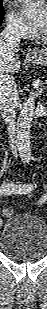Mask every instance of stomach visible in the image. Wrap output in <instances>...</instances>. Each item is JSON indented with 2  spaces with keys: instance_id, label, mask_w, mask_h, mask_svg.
Listing matches in <instances>:
<instances>
[{
  "instance_id": "0dacf381",
  "label": "stomach",
  "mask_w": 47,
  "mask_h": 309,
  "mask_svg": "<svg viewBox=\"0 0 47 309\" xmlns=\"http://www.w3.org/2000/svg\"><path fill=\"white\" fill-rule=\"evenodd\" d=\"M29 60L47 66V49L38 51L35 55L31 56Z\"/></svg>"
}]
</instances>
